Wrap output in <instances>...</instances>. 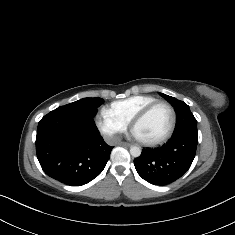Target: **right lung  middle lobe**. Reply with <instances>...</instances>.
I'll list each match as a JSON object with an SVG mask.
<instances>
[{"mask_svg": "<svg viewBox=\"0 0 235 235\" xmlns=\"http://www.w3.org/2000/svg\"><path fill=\"white\" fill-rule=\"evenodd\" d=\"M103 102L104 100L101 98H83L65 106H61L57 109L75 111L93 118L97 113V108Z\"/></svg>", "mask_w": 235, "mask_h": 235, "instance_id": "obj_1", "label": "right lung middle lobe"}]
</instances>
